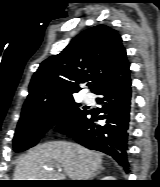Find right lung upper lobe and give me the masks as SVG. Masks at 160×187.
I'll return each instance as SVG.
<instances>
[{"label":"right lung upper lobe","mask_w":160,"mask_h":187,"mask_svg":"<svg viewBox=\"0 0 160 187\" xmlns=\"http://www.w3.org/2000/svg\"><path fill=\"white\" fill-rule=\"evenodd\" d=\"M120 35L105 25L83 31L57 55L43 61L29 85L22 113L40 111L73 99L80 83L96 92L128 65ZM91 81V83H90Z\"/></svg>","instance_id":"obj_1"}]
</instances>
